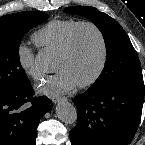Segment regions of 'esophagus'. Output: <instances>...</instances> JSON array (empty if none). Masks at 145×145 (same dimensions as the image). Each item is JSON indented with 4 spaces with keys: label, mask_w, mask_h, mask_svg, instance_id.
Returning <instances> with one entry per match:
<instances>
[{
    "label": "esophagus",
    "mask_w": 145,
    "mask_h": 145,
    "mask_svg": "<svg viewBox=\"0 0 145 145\" xmlns=\"http://www.w3.org/2000/svg\"><path fill=\"white\" fill-rule=\"evenodd\" d=\"M51 100H52L53 103H58V102H60L61 100H67V98H66V97H60V96H53V97L51 98Z\"/></svg>",
    "instance_id": "obj_1"
}]
</instances>
